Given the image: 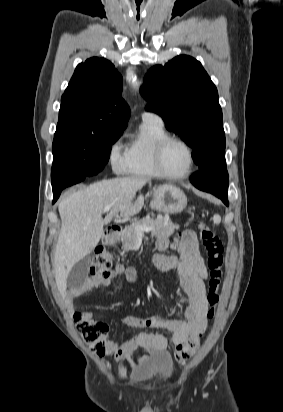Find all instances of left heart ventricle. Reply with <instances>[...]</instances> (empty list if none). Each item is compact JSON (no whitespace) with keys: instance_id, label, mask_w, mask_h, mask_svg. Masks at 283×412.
<instances>
[{"instance_id":"1","label":"left heart ventricle","mask_w":283,"mask_h":412,"mask_svg":"<svg viewBox=\"0 0 283 412\" xmlns=\"http://www.w3.org/2000/svg\"><path fill=\"white\" fill-rule=\"evenodd\" d=\"M189 155L187 150L179 143H170L163 154L162 164L166 172L180 175L189 167Z\"/></svg>"}]
</instances>
